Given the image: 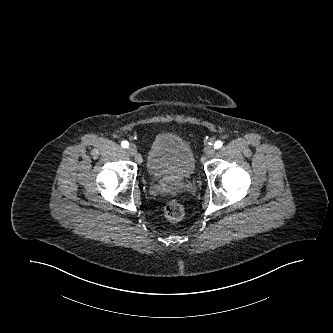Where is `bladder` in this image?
Here are the masks:
<instances>
[{"mask_svg": "<svg viewBox=\"0 0 333 333\" xmlns=\"http://www.w3.org/2000/svg\"><path fill=\"white\" fill-rule=\"evenodd\" d=\"M146 170L154 181H184L192 177L195 158L189 144L179 135L162 132L150 142Z\"/></svg>", "mask_w": 333, "mask_h": 333, "instance_id": "obj_1", "label": "bladder"}]
</instances>
